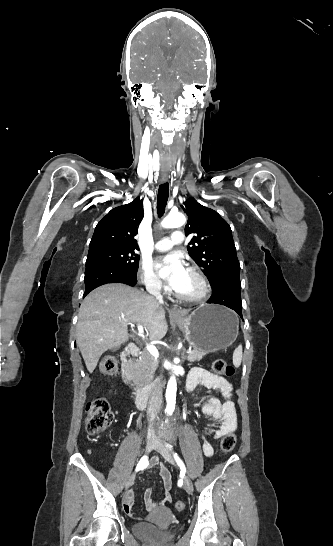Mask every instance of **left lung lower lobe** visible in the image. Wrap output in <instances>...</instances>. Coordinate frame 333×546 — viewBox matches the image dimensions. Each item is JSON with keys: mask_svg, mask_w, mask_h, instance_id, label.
<instances>
[{"mask_svg": "<svg viewBox=\"0 0 333 546\" xmlns=\"http://www.w3.org/2000/svg\"><path fill=\"white\" fill-rule=\"evenodd\" d=\"M213 292L207 303L221 304L227 306L242 317L241 283L239 277L223 279L216 286L212 287Z\"/></svg>", "mask_w": 333, "mask_h": 546, "instance_id": "0a47b994", "label": "left lung lower lobe"}]
</instances>
